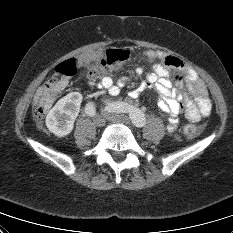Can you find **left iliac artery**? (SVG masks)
Instances as JSON below:
<instances>
[{"label": "left iliac artery", "instance_id": "1", "mask_svg": "<svg viewBox=\"0 0 233 233\" xmlns=\"http://www.w3.org/2000/svg\"><path fill=\"white\" fill-rule=\"evenodd\" d=\"M106 109L110 112H115V113H128L133 124L136 127H143L146 123L145 115L141 112V110L135 108L132 105H129L128 103L125 102L109 103L106 106Z\"/></svg>", "mask_w": 233, "mask_h": 233}]
</instances>
